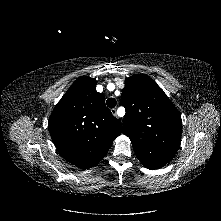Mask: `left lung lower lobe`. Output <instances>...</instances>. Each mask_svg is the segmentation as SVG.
I'll list each match as a JSON object with an SVG mask.
<instances>
[{
	"instance_id": "obj_1",
	"label": "left lung lower lobe",
	"mask_w": 221,
	"mask_h": 221,
	"mask_svg": "<svg viewBox=\"0 0 221 221\" xmlns=\"http://www.w3.org/2000/svg\"><path fill=\"white\" fill-rule=\"evenodd\" d=\"M147 168H149V169H157V168H150V167H147Z\"/></svg>"
}]
</instances>
